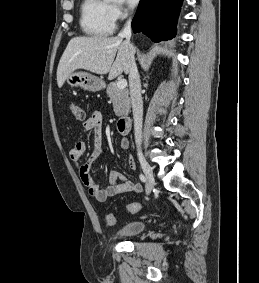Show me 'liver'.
<instances>
[{"label": "liver", "mask_w": 259, "mask_h": 283, "mask_svg": "<svg viewBox=\"0 0 259 283\" xmlns=\"http://www.w3.org/2000/svg\"><path fill=\"white\" fill-rule=\"evenodd\" d=\"M131 48L135 52L134 47L132 45L130 47L119 36L72 38L58 64V87L61 88L66 78L77 69H84L99 75L109 73L110 79L119 76L122 72L128 74Z\"/></svg>", "instance_id": "1"}]
</instances>
